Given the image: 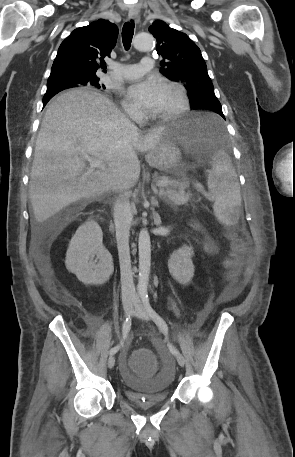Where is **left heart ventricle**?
<instances>
[{
    "label": "left heart ventricle",
    "instance_id": "obj_1",
    "mask_svg": "<svg viewBox=\"0 0 295 457\" xmlns=\"http://www.w3.org/2000/svg\"><path fill=\"white\" fill-rule=\"evenodd\" d=\"M178 105V97L174 90L162 86L159 102L153 114H163L172 111Z\"/></svg>",
    "mask_w": 295,
    "mask_h": 457
}]
</instances>
